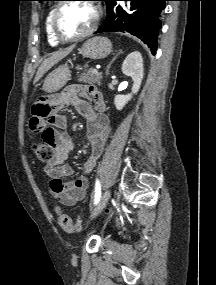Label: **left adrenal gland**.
I'll return each instance as SVG.
<instances>
[{
	"label": "left adrenal gland",
	"mask_w": 216,
	"mask_h": 285,
	"mask_svg": "<svg viewBox=\"0 0 216 285\" xmlns=\"http://www.w3.org/2000/svg\"><path fill=\"white\" fill-rule=\"evenodd\" d=\"M122 53V50L120 49L118 51V53L115 55V57L112 59V61L108 64L107 68H106V74L108 75L109 74V69H110V66L111 64L116 60V58L118 57L119 54Z\"/></svg>",
	"instance_id": "a2214340"
}]
</instances>
